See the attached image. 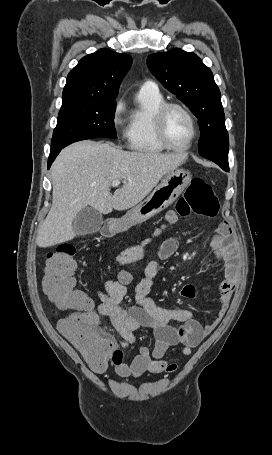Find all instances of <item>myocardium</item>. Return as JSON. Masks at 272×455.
<instances>
[{
	"label": "myocardium",
	"mask_w": 272,
	"mask_h": 455,
	"mask_svg": "<svg viewBox=\"0 0 272 455\" xmlns=\"http://www.w3.org/2000/svg\"><path fill=\"white\" fill-rule=\"evenodd\" d=\"M176 108L181 110L183 113L186 114L188 117L191 127H192V135L190 140L184 146H176L170 142L166 133L165 121L166 116L169 110ZM153 124H154V131L158 141L164 146L166 149L176 151V152H184L189 150L192 145L194 144L195 140L198 137V124L194 114L187 108L185 105L178 103V102H163L155 111L153 117Z\"/></svg>",
	"instance_id": "1"
}]
</instances>
